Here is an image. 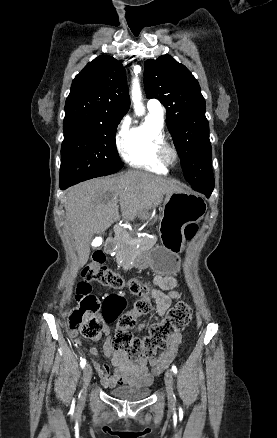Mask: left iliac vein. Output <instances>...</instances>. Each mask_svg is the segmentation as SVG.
<instances>
[{
	"label": "left iliac vein",
	"mask_w": 277,
	"mask_h": 438,
	"mask_svg": "<svg viewBox=\"0 0 277 438\" xmlns=\"http://www.w3.org/2000/svg\"><path fill=\"white\" fill-rule=\"evenodd\" d=\"M173 380H174V377H173L172 370L171 369L167 370L165 373V385H166L168 402L170 404H172L174 401Z\"/></svg>",
	"instance_id": "obj_1"
}]
</instances>
